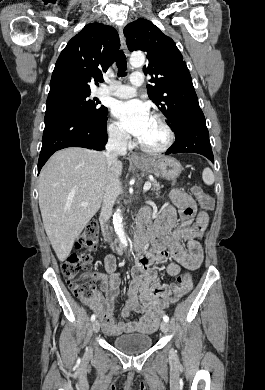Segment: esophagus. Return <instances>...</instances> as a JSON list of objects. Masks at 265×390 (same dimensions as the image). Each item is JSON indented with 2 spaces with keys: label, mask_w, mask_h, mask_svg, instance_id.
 Instances as JSON below:
<instances>
[{
  "label": "esophagus",
  "mask_w": 265,
  "mask_h": 390,
  "mask_svg": "<svg viewBox=\"0 0 265 390\" xmlns=\"http://www.w3.org/2000/svg\"><path fill=\"white\" fill-rule=\"evenodd\" d=\"M119 37H120V43H121V48L124 51V53L129 56V51L126 45L125 37L123 34V31L121 28H119ZM130 160L132 162H143V158L137 155L136 153L130 154Z\"/></svg>",
  "instance_id": "obj_1"
}]
</instances>
